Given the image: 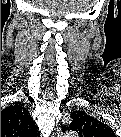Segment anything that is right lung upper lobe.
<instances>
[{
  "label": "right lung upper lobe",
  "instance_id": "obj_1",
  "mask_svg": "<svg viewBox=\"0 0 121 137\" xmlns=\"http://www.w3.org/2000/svg\"><path fill=\"white\" fill-rule=\"evenodd\" d=\"M34 133H36L34 122L23 106L14 104L1 111V135Z\"/></svg>",
  "mask_w": 121,
  "mask_h": 137
}]
</instances>
